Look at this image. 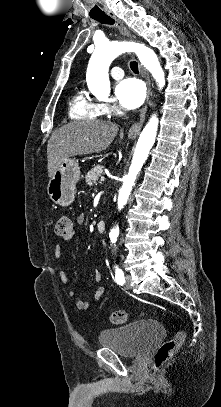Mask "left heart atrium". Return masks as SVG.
<instances>
[{"instance_id": "39dd6f15", "label": "left heart atrium", "mask_w": 221, "mask_h": 407, "mask_svg": "<svg viewBox=\"0 0 221 407\" xmlns=\"http://www.w3.org/2000/svg\"><path fill=\"white\" fill-rule=\"evenodd\" d=\"M115 95L122 107L128 110L136 109L145 99V85L141 80L129 77L115 86Z\"/></svg>"}]
</instances>
